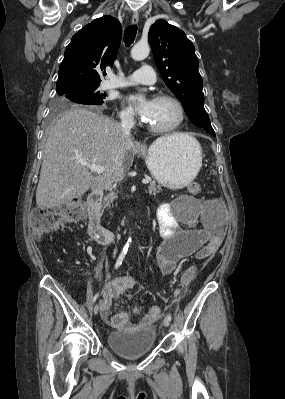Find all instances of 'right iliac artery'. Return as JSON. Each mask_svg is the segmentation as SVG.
Segmentation results:
<instances>
[{
	"mask_svg": "<svg viewBox=\"0 0 285 399\" xmlns=\"http://www.w3.org/2000/svg\"><path fill=\"white\" fill-rule=\"evenodd\" d=\"M127 251H128V248L125 247V248L123 249V251L121 252L119 258H118L117 261H116L115 269H117V268L122 264V261H123L125 255L127 254ZM98 297H99V293H96V294L93 296L92 302H93V303L96 302V300L98 299Z\"/></svg>",
	"mask_w": 285,
	"mask_h": 399,
	"instance_id": "obj_1",
	"label": "right iliac artery"
}]
</instances>
